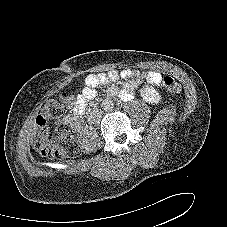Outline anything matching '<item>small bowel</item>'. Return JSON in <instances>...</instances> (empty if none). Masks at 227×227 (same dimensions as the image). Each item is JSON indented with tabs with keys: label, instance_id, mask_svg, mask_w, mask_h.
Here are the masks:
<instances>
[{
	"label": "small bowel",
	"instance_id": "c3829d8e",
	"mask_svg": "<svg viewBox=\"0 0 227 227\" xmlns=\"http://www.w3.org/2000/svg\"><path fill=\"white\" fill-rule=\"evenodd\" d=\"M119 80H130L119 91L116 87L109 88V94L114 96L120 94L123 99H130L133 95L134 88L143 81H147L152 85H158L162 80V75L156 71H138L126 69L122 71L112 70L107 73H90L85 78V86L76 97L73 105L72 114L65 117V122L73 130H79L81 127V118L87 107V103L94 99L97 95L96 88L107 85L110 82H117Z\"/></svg>",
	"mask_w": 227,
	"mask_h": 227
}]
</instances>
